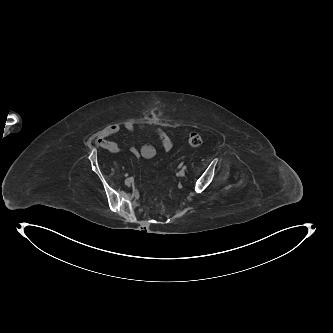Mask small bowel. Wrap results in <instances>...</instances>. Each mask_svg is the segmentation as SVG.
<instances>
[{
	"label": "small bowel",
	"mask_w": 333,
	"mask_h": 333,
	"mask_svg": "<svg viewBox=\"0 0 333 333\" xmlns=\"http://www.w3.org/2000/svg\"><path fill=\"white\" fill-rule=\"evenodd\" d=\"M136 127H138L140 131L151 134L152 136L157 138L162 144L165 151L168 152L172 150L173 143L163 128L154 127L147 124H140L136 126L132 122H126L123 126L119 124H113L106 127L98 134L96 138V145L102 149L109 151L110 153H118L120 150L117 144L111 141L109 138L118 134L122 130V128H124L129 133H134ZM130 151L134 158H136L137 160L141 157L144 159H152L156 155V149L150 143H144L140 147L132 146L130 148Z\"/></svg>",
	"instance_id": "small-bowel-1"
}]
</instances>
